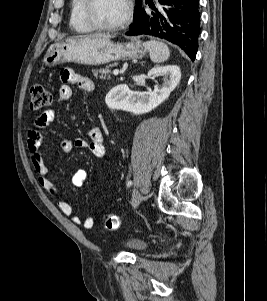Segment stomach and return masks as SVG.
Wrapping results in <instances>:
<instances>
[{"instance_id":"stomach-1","label":"stomach","mask_w":267,"mask_h":301,"mask_svg":"<svg viewBox=\"0 0 267 301\" xmlns=\"http://www.w3.org/2000/svg\"><path fill=\"white\" fill-rule=\"evenodd\" d=\"M146 52L147 49L139 41L121 44L104 38H68L52 44L45 54L43 63L50 67L69 62L102 65L120 59L141 58Z\"/></svg>"}]
</instances>
